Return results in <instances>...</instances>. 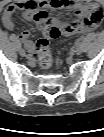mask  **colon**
<instances>
[{
  "label": "colon",
  "instance_id": "obj_1",
  "mask_svg": "<svg viewBox=\"0 0 104 137\" xmlns=\"http://www.w3.org/2000/svg\"><path fill=\"white\" fill-rule=\"evenodd\" d=\"M34 20L43 32V37L37 42L35 58L40 66L49 68L53 60L49 40L58 38L61 31L58 27L52 25L48 13L44 10L37 11Z\"/></svg>",
  "mask_w": 104,
  "mask_h": 137
}]
</instances>
